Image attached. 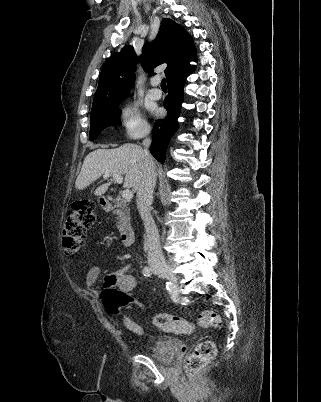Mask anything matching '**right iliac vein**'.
Segmentation results:
<instances>
[{"label":"right iliac vein","instance_id":"63e3f726","mask_svg":"<svg viewBox=\"0 0 321 402\" xmlns=\"http://www.w3.org/2000/svg\"><path fill=\"white\" fill-rule=\"evenodd\" d=\"M156 271L160 274H162L164 277H166L167 279H169L171 282L173 283H177V276L176 274L173 272L172 268H170L169 266H161L158 267L156 269Z\"/></svg>","mask_w":321,"mask_h":402}]
</instances>
